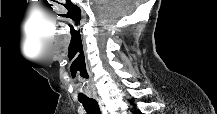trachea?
I'll list each match as a JSON object with an SVG mask.
<instances>
[{
    "label": "trachea",
    "mask_w": 217,
    "mask_h": 114,
    "mask_svg": "<svg viewBox=\"0 0 217 114\" xmlns=\"http://www.w3.org/2000/svg\"><path fill=\"white\" fill-rule=\"evenodd\" d=\"M87 114H101L99 105L96 100L91 98L79 99Z\"/></svg>",
    "instance_id": "obj_1"
}]
</instances>
